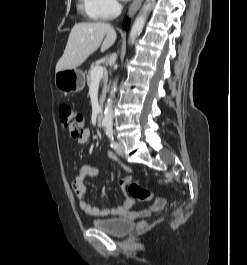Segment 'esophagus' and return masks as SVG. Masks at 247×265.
<instances>
[{"instance_id":"1","label":"esophagus","mask_w":247,"mask_h":265,"mask_svg":"<svg viewBox=\"0 0 247 265\" xmlns=\"http://www.w3.org/2000/svg\"><path fill=\"white\" fill-rule=\"evenodd\" d=\"M143 0H134L130 9H129V15H133L138 8L141 6Z\"/></svg>"}]
</instances>
